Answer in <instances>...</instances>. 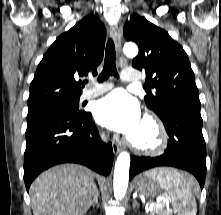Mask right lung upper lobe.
<instances>
[{"label":"right lung upper lobe","mask_w":221,"mask_h":215,"mask_svg":"<svg viewBox=\"0 0 221 215\" xmlns=\"http://www.w3.org/2000/svg\"><path fill=\"white\" fill-rule=\"evenodd\" d=\"M105 39V27L95 16H86L61 34L37 67L28 107L79 99L83 84L77 79L97 74Z\"/></svg>","instance_id":"right-lung-upper-lobe-1"}]
</instances>
